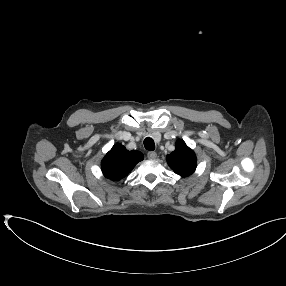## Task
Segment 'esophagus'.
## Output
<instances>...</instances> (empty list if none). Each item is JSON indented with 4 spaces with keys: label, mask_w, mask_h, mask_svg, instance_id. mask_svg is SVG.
<instances>
[{
    "label": "esophagus",
    "mask_w": 286,
    "mask_h": 286,
    "mask_svg": "<svg viewBox=\"0 0 286 286\" xmlns=\"http://www.w3.org/2000/svg\"><path fill=\"white\" fill-rule=\"evenodd\" d=\"M147 157L149 159H155L157 157V153L154 152V151H150V152L147 153Z\"/></svg>",
    "instance_id": "1"
}]
</instances>
